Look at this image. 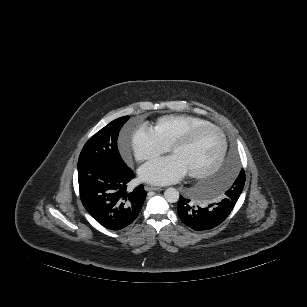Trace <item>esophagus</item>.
Returning <instances> with one entry per match:
<instances>
[{"mask_svg": "<svg viewBox=\"0 0 307 307\" xmlns=\"http://www.w3.org/2000/svg\"><path fill=\"white\" fill-rule=\"evenodd\" d=\"M145 189H146L147 191H160V190H162L161 187L151 186V185H147V186L145 187Z\"/></svg>", "mask_w": 307, "mask_h": 307, "instance_id": "esophagus-1", "label": "esophagus"}]
</instances>
